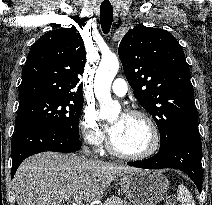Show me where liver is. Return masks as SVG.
<instances>
[{
    "label": "liver",
    "mask_w": 212,
    "mask_h": 205,
    "mask_svg": "<svg viewBox=\"0 0 212 205\" xmlns=\"http://www.w3.org/2000/svg\"><path fill=\"white\" fill-rule=\"evenodd\" d=\"M136 170L74 154L43 152L24 160L14 177L17 205H63L79 196L100 200L118 176Z\"/></svg>",
    "instance_id": "1"
}]
</instances>
